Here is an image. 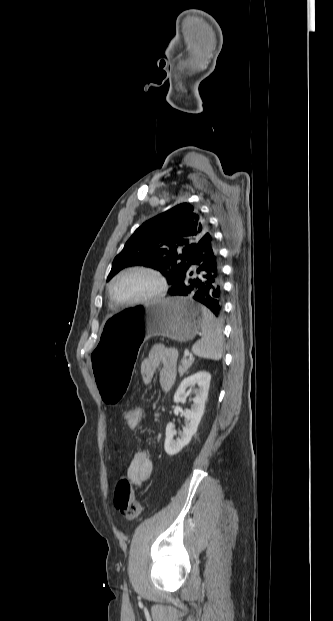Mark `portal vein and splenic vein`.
<instances>
[{
	"mask_svg": "<svg viewBox=\"0 0 333 621\" xmlns=\"http://www.w3.org/2000/svg\"><path fill=\"white\" fill-rule=\"evenodd\" d=\"M184 355H185V356H189V355H190V352H189L188 350H185V351H184Z\"/></svg>",
	"mask_w": 333,
	"mask_h": 621,
	"instance_id": "portal-vein-and-splenic-vein-1",
	"label": "portal vein and splenic vein"
}]
</instances>
